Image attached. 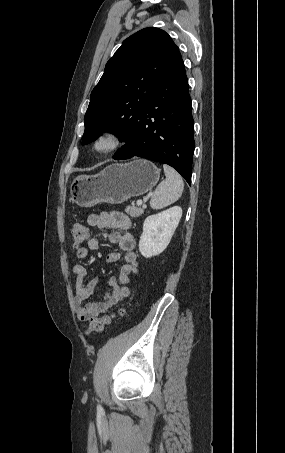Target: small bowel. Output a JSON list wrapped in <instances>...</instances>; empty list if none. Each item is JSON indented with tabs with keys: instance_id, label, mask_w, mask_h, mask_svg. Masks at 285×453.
<instances>
[{
	"instance_id": "c3829d8e",
	"label": "small bowel",
	"mask_w": 285,
	"mask_h": 453,
	"mask_svg": "<svg viewBox=\"0 0 285 453\" xmlns=\"http://www.w3.org/2000/svg\"><path fill=\"white\" fill-rule=\"evenodd\" d=\"M87 224L99 229L111 230L108 239L111 243L116 244L120 252L112 251L106 256L109 263H115L123 260L124 264L120 269L118 277L111 276L108 279V290L100 301H88L95 292L97 278L88 279V271L82 264H76L73 267L75 275V313L80 321H87L106 313L115 304L128 298L131 295L129 283L131 275L138 273L137 254L135 252L136 241L134 236L129 232L131 229V220L122 212H102L100 214H91L87 218ZM99 249L97 238L90 237L87 240L86 247L77 251V257L84 259L88 256L89 251Z\"/></svg>"
}]
</instances>
